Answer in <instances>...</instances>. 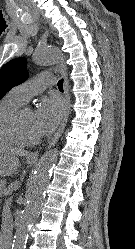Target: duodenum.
<instances>
[{"instance_id":"obj_1","label":"duodenum","mask_w":135,"mask_h":249,"mask_svg":"<svg viewBox=\"0 0 135 249\" xmlns=\"http://www.w3.org/2000/svg\"><path fill=\"white\" fill-rule=\"evenodd\" d=\"M0 245L4 247L5 249L11 248V239L8 235H2L0 236Z\"/></svg>"}]
</instances>
